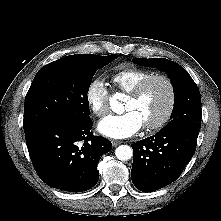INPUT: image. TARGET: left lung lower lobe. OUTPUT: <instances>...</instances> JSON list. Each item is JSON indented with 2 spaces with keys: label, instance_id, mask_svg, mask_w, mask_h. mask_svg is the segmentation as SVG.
<instances>
[{
  "label": "left lung lower lobe",
  "instance_id": "1",
  "mask_svg": "<svg viewBox=\"0 0 221 221\" xmlns=\"http://www.w3.org/2000/svg\"><path fill=\"white\" fill-rule=\"evenodd\" d=\"M200 128L178 126L132 144L131 178L143 192L158 190L175 181L193 157Z\"/></svg>",
  "mask_w": 221,
  "mask_h": 221
}]
</instances>
